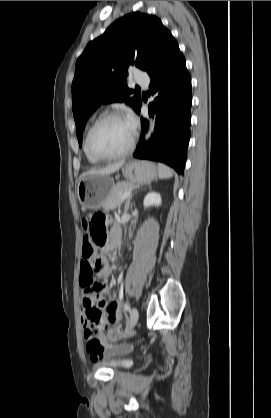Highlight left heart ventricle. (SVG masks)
Segmentation results:
<instances>
[{"label": "left heart ventricle", "mask_w": 271, "mask_h": 418, "mask_svg": "<svg viewBox=\"0 0 271 418\" xmlns=\"http://www.w3.org/2000/svg\"><path fill=\"white\" fill-rule=\"evenodd\" d=\"M132 134L125 118L109 119L94 130L91 144L98 153L113 154L127 147Z\"/></svg>", "instance_id": "obj_1"}]
</instances>
